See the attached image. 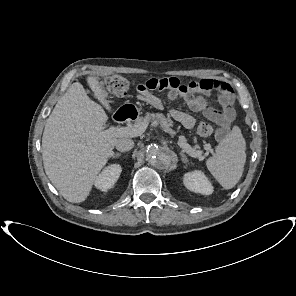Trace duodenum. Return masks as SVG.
Masks as SVG:
<instances>
[{
    "mask_svg": "<svg viewBox=\"0 0 296 296\" xmlns=\"http://www.w3.org/2000/svg\"><path fill=\"white\" fill-rule=\"evenodd\" d=\"M136 117L137 111L133 107L121 109L114 114V119L117 122L131 121L134 120Z\"/></svg>",
    "mask_w": 296,
    "mask_h": 296,
    "instance_id": "duodenum-1",
    "label": "duodenum"
}]
</instances>
